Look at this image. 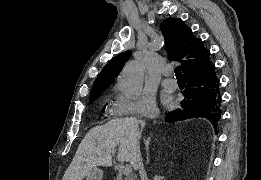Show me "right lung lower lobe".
Instances as JSON below:
<instances>
[{"mask_svg": "<svg viewBox=\"0 0 261 180\" xmlns=\"http://www.w3.org/2000/svg\"><path fill=\"white\" fill-rule=\"evenodd\" d=\"M187 83L179 109L170 112L166 122L181 121L193 117L207 118L217 128L221 118V94L219 80L214 65L206 64L193 67L184 73Z\"/></svg>", "mask_w": 261, "mask_h": 180, "instance_id": "98d812e1", "label": "right lung lower lobe"}]
</instances>
